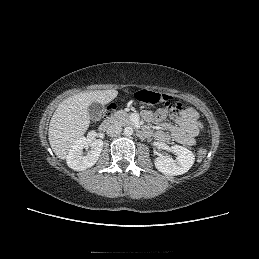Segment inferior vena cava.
<instances>
[{"mask_svg":"<svg viewBox=\"0 0 259 259\" xmlns=\"http://www.w3.org/2000/svg\"><path fill=\"white\" fill-rule=\"evenodd\" d=\"M122 131V127L117 123H112L107 128L108 136L115 137L119 135Z\"/></svg>","mask_w":259,"mask_h":259,"instance_id":"obj_1","label":"inferior vena cava"}]
</instances>
